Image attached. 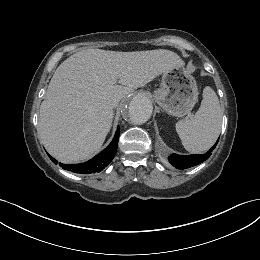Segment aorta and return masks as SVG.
Instances as JSON below:
<instances>
[{
	"instance_id": "obj_1",
	"label": "aorta",
	"mask_w": 260,
	"mask_h": 260,
	"mask_svg": "<svg viewBox=\"0 0 260 260\" xmlns=\"http://www.w3.org/2000/svg\"><path fill=\"white\" fill-rule=\"evenodd\" d=\"M152 103L145 95L135 96L128 106L129 121L134 125L146 123L152 114Z\"/></svg>"
}]
</instances>
